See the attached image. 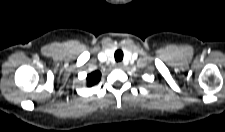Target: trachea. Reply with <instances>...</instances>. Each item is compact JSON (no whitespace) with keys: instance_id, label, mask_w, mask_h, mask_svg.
Returning <instances> with one entry per match:
<instances>
[{"instance_id":"3493384b","label":"trachea","mask_w":225,"mask_h":132,"mask_svg":"<svg viewBox=\"0 0 225 132\" xmlns=\"http://www.w3.org/2000/svg\"><path fill=\"white\" fill-rule=\"evenodd\" d=\"M116 62H120L123 59V52L121 50H117L114 54Z\"/></svg>"}]
</instances>
